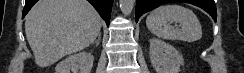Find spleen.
Listing matches in <instances>:
<instances>
[{"label": "spleen", "mask_w": 244, "mask_h": 73, "mask_svg": "<svg viewBox=\"0 0 244 73\" xmlns=\"http://www.w3.org/2000/svg\"><path fill=\"white\" fill-rule=\"evenodd\" d=\"M178 22L181 29H174L169 22ZM147 28L158 38L195 42L202 37V28L195 13L181 5L166 4L153 10L146 18Z\"/></svg>", "instance_id": "1"}]
</instances>
